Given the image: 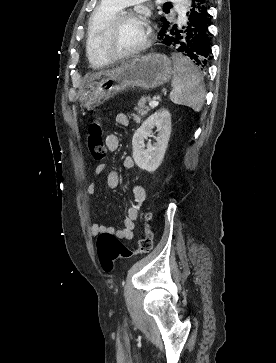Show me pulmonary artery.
Masks as SVG:
<instances>
[{
  "instance_id": "obj_1",
  "label": "pulmonary artery",
  "mask_w": 276,
  "mask_h": 363,
  "mask_svg": "<svg viewBox=\"0 0 276 363\" xmlns=\"http://www.w3.org/2000/svg\"><path fill=\"white\" fill-rule=\"evenodd\" d=\"M112 2H114L117 6H119L120 8L123 7H127L129 5L135 4V3H139L142 2L144 0H110ZM161 1V0H159ZM163 1H168V0H163ZM178 4H176L177 6L181 5V3H183L184 0H177Z\"/></svg>"
}]
</instances>
